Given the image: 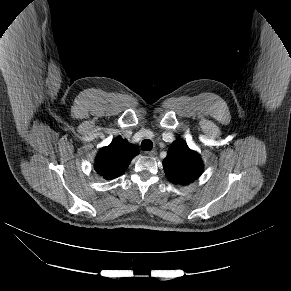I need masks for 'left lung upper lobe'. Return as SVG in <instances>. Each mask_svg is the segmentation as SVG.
Wrapping results in <instances>:
<instances>
[{
  "instance_id": "left-lung-upper-lobe-1",
  "label": "left lung upper lobe",
  "mask_w": 291,
  "mask_h": 291,
  "mask_svg": "<svg viewBox=\"0 0 291 291\" xmlns=\"http://www.w3.org/2000/svg\"><path fill=\"white\" fill-rule=\"evenodd\" d=\"M163 167L168 180L179 185L192 183L203 173L200 155L189 149L181 138H177L170 146Z\"/></svg>"
}]
</instances>
